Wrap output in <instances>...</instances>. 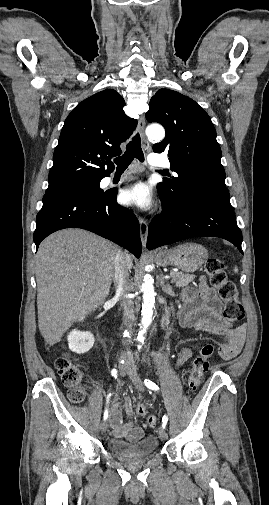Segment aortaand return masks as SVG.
<instances>
[{"label":"aorta","instance_id":"aorta-1","mask_svg":"<svg viewBox=\"0 0 269 505\" xmlns=\"http://www.w3.org/2000/svg\"><path fill=\"white\" fill-rule=\"evenodd\" d=\"M146 135L150 140L161 141L165 137V130L161 125H150L146 128ZM141 291L143 293V303L141 331L139 332L138 339L143 341L144 335L152 322L156 295L154 280L149 274L144 276Z\"/></svg>","mask_w":269,"mask_h":505}]
</instances>
